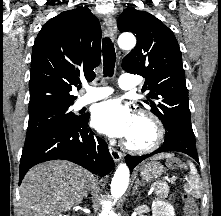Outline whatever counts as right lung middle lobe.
I'll return each instance as SVG.
<instances>
[{"instance_id":"obj_1","label":"right lung middle lobe","mask_w":221,"mask_h":216,"mask_svg":"<svg viewBox=\"0 0 221 216\" xmlns=\"http://www.w3.org/2000/svg\"><path fill=\"white\" fill-rule=\"evenodd\" d=\"M70 106L51 108L30 115L24 146L38 141L53 131L77 122L80 116L70 111Z\"/></svg>"}]
</instances>
